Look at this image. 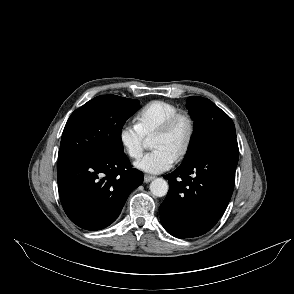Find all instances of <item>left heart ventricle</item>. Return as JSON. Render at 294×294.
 <instances>
[{
  "label": "left heart ventricle",
  "instance_id": "obj_1",
  "mask_svg": "<svg viewBox=\"0 0 294 294\" xmlns=\"http://www.w3.org/2000/svg\"><path fill=\"white\" fill-rule=\"evenodd\" d=\"M188 134L186 120H180L167 134L152 138L153 148H163L175 156L184 145Z\"/></svg>",
  "mask_w": 294,
  "mask_h": 294
}]
</instances>
